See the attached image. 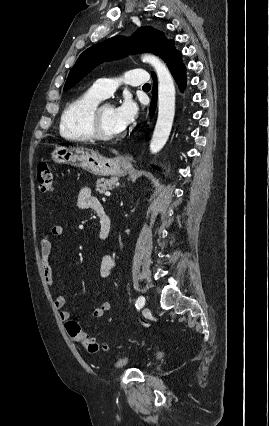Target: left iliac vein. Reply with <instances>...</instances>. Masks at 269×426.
Instances as JSON below:
<instances>
[{"label":"left iliac vein","mask_w":269,"mask_h":426,"mask_svg":"<svg viewBox=\"0 0 269 426\" xmlns=\"http://www.w3.org/2000/svg\"><path fill=\"white\" fill-rule=\"evenodd\" d=\"M150 315H151L150 310H149V309H147V308H145V309H144V316H145V317H149Z\"/></svg>","instance_id":"obj_1"}]
</instances>
